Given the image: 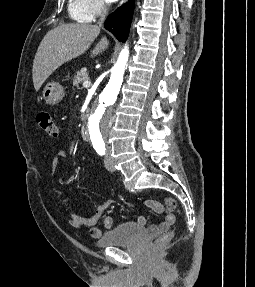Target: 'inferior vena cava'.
Instances as JSON below:
<instances>
[{"instance_id": "602c4592", "label": "inferior vena cava", "mask_w": 255, "mask_h": 287, "mask_svg": "<svg viewBox=\"0 0 255 287\" xmlns=\"http://www.w3.org/2000/svg\"><path fill=\"white\" fill-rule=\"evenodd\" d=\"M102 12H103V16H101L98 24H103L104 20H105V16H106V6H103L102 8Z\"/></svg>"}]
</instances>
